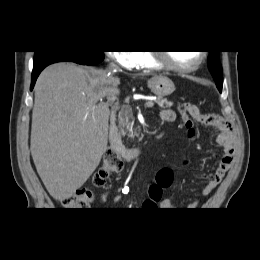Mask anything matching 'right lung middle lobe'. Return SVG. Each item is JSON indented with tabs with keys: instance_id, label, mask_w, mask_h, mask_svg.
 Wrapping results in <instances>:
<instances>
[{
	"instance_id": "dd1d6c3e",
	"label": "right lung middle lobe",
	"mask_w": 260,
	"mask_h": 260,
	"mask_svg": "<svg viewBox=\"0 0 260 260\" xmlns=\"http://www.w3.org/2000/svg\"><path fill=\"white\" fill-rule=\"evenodd\" d=\"M45 52L35 51L34 60L40 58Z\"/></svg>"
}]
</instances>
